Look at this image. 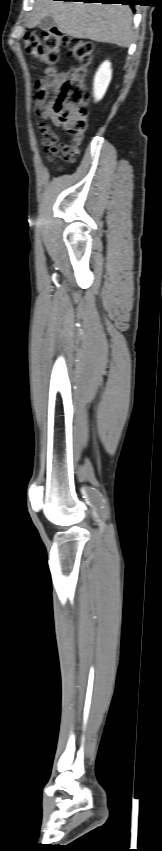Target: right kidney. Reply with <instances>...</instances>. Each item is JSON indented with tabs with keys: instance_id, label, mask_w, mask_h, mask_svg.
Returning <instances> with one entry per match:
<instances>
[{
	"instance_id": "1",
	"label": "right kidney",
	"mask_w": 162,
	"mask_h": 851,
	"mask_svg": "<svg viewBox=\"0 0 162 851\" xmlns=\"http://www.w3.org/2000/svg\"><path fill=\"white\" fill-rule=\"evenodd\" d=\"M111 77V63L109 61H105L101 64L94 77L93 95L95 101L102 99L111 81Z\"/></svg>"
}]
</instances>
